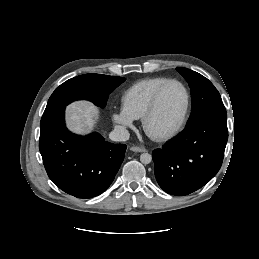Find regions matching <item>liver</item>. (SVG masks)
Segmentation results:
<instances>
[{"instance_id":"1","label":"liver","mask_w":259,"mask_h":259,"mask_svg":"<svg viewBox=\"0 0 259 259\" xmlns=\"http://www.w3.org/2000/svg\"><path fill=\"white\" fill-rule=\"evenodd\" d=\"M99 110L92 103L77 101L66 108V123L69 130L85 135L95 127Z\"/></svg>"}]
</instances>
